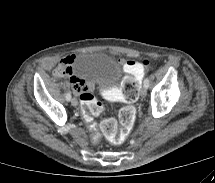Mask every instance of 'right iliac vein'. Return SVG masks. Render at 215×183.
Here are the masks:
<instances>
[{
    "instance_id": "right-iliac-vein-1",
    "label": "right iliac vein",
    "mask_w": 215,
    "mask_h": 183,
    "mask_svg": "<svg viewBox=\"0 0 215 183\" xmlns=\"http://www.w3.org/2000/svg\"><path fill=\"white\" fill-rule=\"evenodd\" d=\"M71 104H72L73 106H77V105H78L77 99H76V98H73V99L71 100Z\"/></svg>"
}]
</instances>
